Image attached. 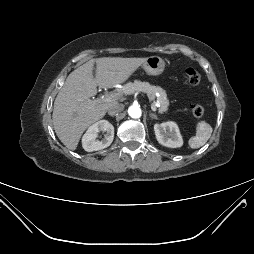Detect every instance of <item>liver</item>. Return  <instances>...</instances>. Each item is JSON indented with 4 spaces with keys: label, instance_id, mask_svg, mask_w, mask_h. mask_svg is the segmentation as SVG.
<instances>
[{
    "label": "liver",
    "instance_id": "liver-1",
    "mask_svg": "<svg viewBox=\"0 0 254 254\" xmlns=\"http://www.w3.org/2000/svg\"><path fill=\"white\" fill-rule=\"evenodd\" d=\"M147 58L103 57L91 59L71 72L59 91L53 109V126L60 141L75 150L83 132L103 118L116 101L94 103L91 97L100 88L124 83ZM96 64V76H93Z\"/></svg>",
    "mask_w": 254,
    "mask_h": 254
}]
</instances>
